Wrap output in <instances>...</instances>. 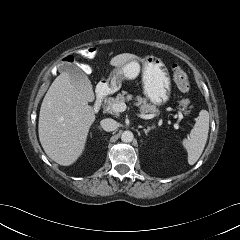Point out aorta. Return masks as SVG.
Listing matches in <instances>:
<instances>
[{"instance_id":"aorta-1","label":"aorta","mask_w":240,"mask_h":240,"mask_svg":"<svg viewBox=\"0 0 240 240\" xmlns=\"http://www.w3.org/2000/svg\"><path fill=\"white\" fill-rule=\"evenodd\" d=\"M134 135L131 131H124L121 135V140L125 143L132 142Z\"/></svg>"}]
</instances>
